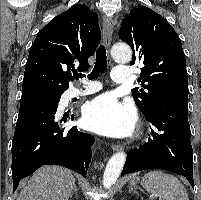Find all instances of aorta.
<instances>
[{"instance_id": "obj_1", "label": "aorta", "mask_w": 201, "mask_h": 200, "mask_svg": "<svg viewBox=\"0 0 201 200\" xmlns=\"http://www.w3.org/2000/svg\"><path fill=\"white\" fill-rule=\"evenodd\" d=\"M112 57L119 62H129L132 58L130 47L124 43H117L111 49ZM126 154L124 152L115 153L108 161L103 175V186L110 188L117 181L124 163Z\"/></svg>"}]
</instances>
